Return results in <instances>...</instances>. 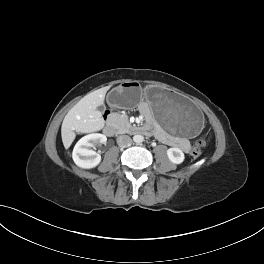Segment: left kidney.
Here are the masks:
<instances>
[{
    "label": "left kidney",
    "instance_id": "left-kidney-1",
    "mask_svg": "<svg viewBox=\"0 0 264 264\" xmlns=\"http://www.w3.org/2000/svg\"><path fill=\"white\" fill-rule=\"evenodd\" d=\"M167 156L174 164H180L184 161V153L179 148H169L167 150Z\"/></svg>",
    "mask_w": 264,
    "mask_h": 264
}]
</instances>
